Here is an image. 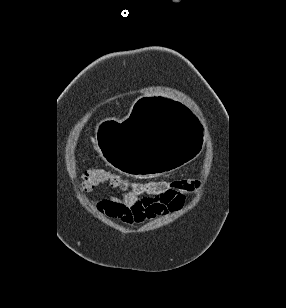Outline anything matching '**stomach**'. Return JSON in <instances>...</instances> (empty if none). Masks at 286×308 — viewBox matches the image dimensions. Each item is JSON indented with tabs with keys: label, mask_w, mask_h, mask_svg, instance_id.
Listing matches in <instances>:
<instances>
[{
	"label": "stomach",
	"mask_w": 286,
	"mask_h": 308,
	"mask_svg": "<svg viewBox=\"0 0 286 308\" xmlns=\"http://www.w3.org/2000/svg\"><path fill=\"white\" fill-rule=\"evenodd\" d=\"M183 106V100L152 91L134 100L131 118L100 117L94 147L108 165L131 177L182 173L205 148L198 142L204 125H199L197 112Z\"/></svg>",
	"instance_id": "0dacf381"
}]
</instances>
